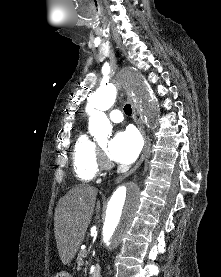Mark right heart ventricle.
I'll use <instances>...</instances> for the list:
<instances>
[{
	"label": "right heart ventricle",
	"instance_id": "e07e8e85",
	"mask_svg": "<svg viewBox=\"0 0 221 277\" xmlns=\"http://www.w3.org/2000/svg\"><path fill=\"white\" fill-rule=\"evenodd\" d=\"M74 174L78 180L89 182L99 173L98 146L85 133H80L72 148Z\"/></svg>",
	"mask_w": 221,
	"mask_h": 277
}]
</instances>
